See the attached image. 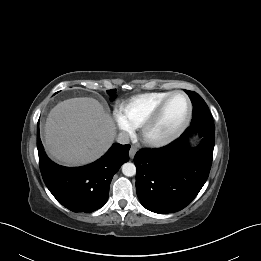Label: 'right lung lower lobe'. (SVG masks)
Masks as SVG:
<instances>
[{
	"mask_svg": "<svg viewBox=\"0 0 261 261\" xmlns=\"http://www.w3.org/2000/svg\"><path fill=\"white\" fill-rule=\"evenodd\" d=\"M37 149L41 174L52 195L71 211L90 213L105 205L113 175L129 160L130 145L115 143L89 165L64 167L51 161L44 152L38 123Z\"/></svg>",
	"mask_w": 261,
	"mask_h": 261,
	"instance_id": "1",
	"label": "right lung lower lobe"
}]
</instances>
